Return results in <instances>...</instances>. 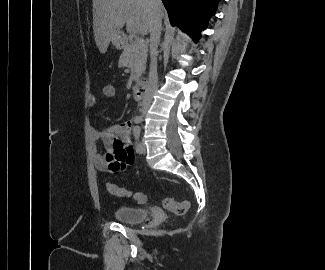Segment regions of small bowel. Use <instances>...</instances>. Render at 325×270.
Returning a JSON list of instances; mask_svg holds the SVG:
<instances>
[{
    "instance_id": "obj_1",
    "label": "small bowel",
    "mask_w": 325,
    "mask_h": 270,
    "mask_svg": "<svg viewBox=\"0 0 325 270\" xmlns=\"http://www.w3.org/2000/svg\"><path fill=\"white\" fill-rule=\"evenodd\" d=\"M87 103L90 107H93L98 103V99L92 95L88 98ZM131 130L132 122L130 120L115 124L104 130H100L96 124L91 125L90 136L93 144V161L99 171L118 173L133 164L134 154L131 149ZM99 140L105 146V154L100 153L97 149L96 143Z\"/></svg>"
}]
</instances>
